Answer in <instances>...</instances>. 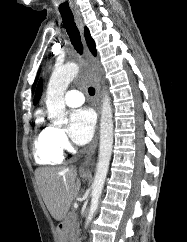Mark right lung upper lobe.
<instances>
[{
    "label": "right lung upper lobe",
    "mask_w": 187,
    "mask_h": 242,
    "mask_svg": "<svg viewBox=\"0 0 187 242\" xmlns=\"http://www.w3.org/2000/svg\"><path fill=\"white\" fill-rule=\"evenodd\" d=\"M84 35H85V39H86V42H87V45H88L90 51L92 52L93 55H96L95 42L92 39V37L90 36V32L87 28H85ZM41 94H42V80H40V82L38 84L35 98H34V104H37V102L39 101V99L41 97Z\"/></svg>",
    "instance_id": "1"
}]
</instances>
